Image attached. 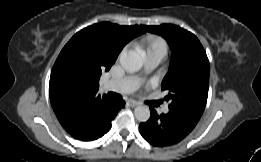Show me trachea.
<instances>
[{"instance_id":"1","label":"trachea","mask_w":261,"mask_h":162,"mask_svg":"<svg viewBox=\"0 0 261 162\" xmlns=\"http://www.w3.org/2000/svg\"><path fill=\"white\" fill-rule=\"evenodd\" d=\"M108 96L114 100H120L121 96L119 94H115L113 92L108 93Z\"/></svg>"}]
</instances>
